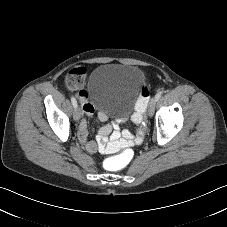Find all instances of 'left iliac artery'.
I'll return each mask as SVG.
<instances>
[{
    "mask_svg": "<svg viewBox=\"0 0 227 227\" xmlns=\"http://www.w3.org/2000/svg\"><path fill=\"white\" fill-rule=\"evenodd\" d=\"M162 96V92H158L156 95H155V99L158 101L160 99V97Z\"/></svg>",
    "mask_w": 227,
    "mask_h": 227,
    "instance_id": "left-iliac-artery-1",
    "label": "left iliac artery"
}]
</instances>
